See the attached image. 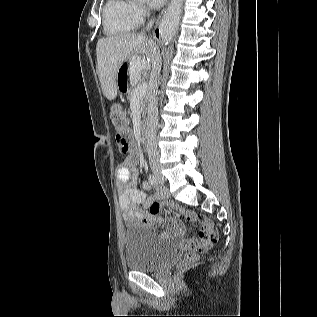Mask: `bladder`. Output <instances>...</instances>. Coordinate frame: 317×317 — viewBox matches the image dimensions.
<instances>
[{"label":"bladder","mask_w":317,"mask_h":317,"mask_svg":"<svg viewBox=\"0 0 317 317\" xmlns=\"http://www.w3.org/2000/svg\"><path fill=\"white\" fill-rule=\"evenodd\" d=\"M179 246L148 232L143 226H130L124 233L125 264L134 271L157 270L179 253Z\"/></svg>","instance_id":"obj_1"}]
</instances>
